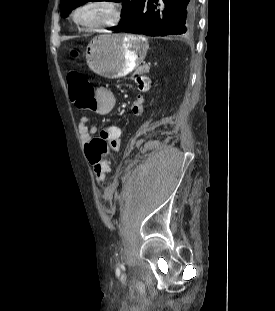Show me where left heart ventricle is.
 I'll return each mask as SVG.
<instances>
[{"mask_svg":"<svg viewBox=\"0 0 275 311\" xmlns=\"http://www.w3.org/2000/svg\"><path fill=\"white\" fill-rule=\"evenodd\" d=\"M108 17V13L101 7H93L86 10L83 18L87 21H100Z\"/></svg>","mask_w":275,"mask_h":311,"instance_id":"obj_1","label":"left heart ventricle"}]
</instances>
